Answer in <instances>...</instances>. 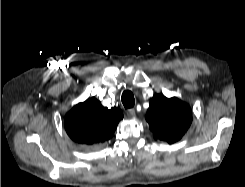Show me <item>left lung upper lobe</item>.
Instances as JSON below:
<instances>
[{
  "instance_id": "obj_1",
  "label": "left lung upper lobe",
  "mask_w": 245,
  "mask_h": 187,
  "mask_svg": "<svg viewBox=\"0 0 245 187\" xmlns=\"http://www.w3.org/2000/svg\"><path fill=\"white\" fill-rule=\"evenodd\" d=\"M146 120L155 139L173 144L179 141L192 122L191 108L176 97L161 94L150 100Z\"/></svg>"
}]
</instances>
